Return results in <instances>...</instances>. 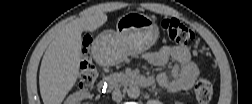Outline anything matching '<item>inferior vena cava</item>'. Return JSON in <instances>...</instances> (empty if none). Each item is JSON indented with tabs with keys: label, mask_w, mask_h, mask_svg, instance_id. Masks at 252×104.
<instances>
[{
	"label": "inferior vena cava",
	"mask_w": 252,
	"mask_h": 104,
	"mask_svg": "<svg viewBox=\"0 0 252 104\" xmlns=\"http://www.w3.org/2000/svg\"><path fill=\"white\" fill-rule=\"evenodd\" d=\"M112 99L117 103H119L122 100V93L119 88H116L112 92Z\"/></svg>",
	"instance_id": "602c4592"
}]
</instances>
